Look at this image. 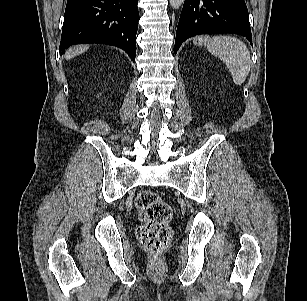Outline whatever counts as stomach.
Wrapping results in <instances>:
<instances>
[{
    "label": "stomach",
    "instance_id": "stomach-1",
    "mask_svg": "<svg viewBox=\"0 0 307 301\" xmlns=\"http://www.w3.org/2000/svg\"><path fill=\"white\" fill-rule=\"evenodd\" d=\"M206 41H207V39L203 38V37L195 39V43L198 44V45H204L206 43Z\"/></svg>",
    "mask_w": 307,
    "mask_h": 301
}]
</instances>
